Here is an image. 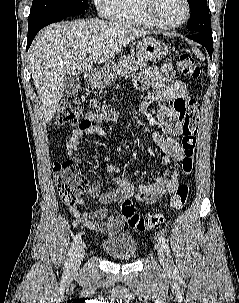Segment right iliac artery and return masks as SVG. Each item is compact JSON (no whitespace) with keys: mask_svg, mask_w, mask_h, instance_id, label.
<instances>
[{"mask_svg":"<svg viewBox=\"0 0 239 303\" xmlns=\"http://www.w3.org/2000/svg\"><path fill=\"white\" fill-rule=\"evenodd\" d=\"M81 242V234H77L73 240V243L71 245V248L69 250V253H68V257H67V262L65 264V272H69L70 268L72 267L73 265V261L75 259V256H76V252H77V249H78V246Z\"/></svg>","mask_w":239,"mask_h":303,"instance_id":"obj_1","label":"right iliac artery"}]
</instances>
